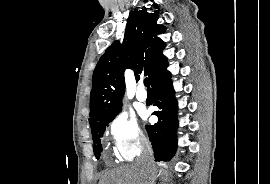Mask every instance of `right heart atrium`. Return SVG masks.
<instances>
[{
  "mask_svg": "<svg viewBox=\"0 0 270 184\" xmlns=\"http://www.w3.org/2000/svg\"><path fill=\"white\" fill-rule=\"evenodd\" d=\"M108 134L117 156L125 162L133 161L147 142L135 118L125 112L117 113L110 120Z\"/></svg>",
  "mask_w": 270,
  "mask_h": 184,
  "instance_id": "1",
  "label": "right heart atrium"
}]
</instances>
